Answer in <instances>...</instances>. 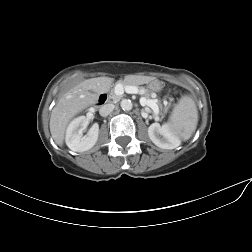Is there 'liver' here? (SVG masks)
<instances>
[{
  "mask_svg": "<svg viewBox=\"0 0 252 252\" xmlns=\"http://www.w3.org/2000/svg\"><path fill=\"white\" fill-rule=\"evenodd\" d=\"M150 80V77L135 75H128L124 79L126 84L133 85L148 83ZM112 82L113 79L109 77L87 79L71 88L58 100L50 117V132L56 144L63 145L65 131L70 120L95 104L98 94L108 91Z\"/></svg>",
  "mask_w": 252,
  "mask_h": 252,
  "instance_id": "obj_1",
  "label": "liver"
}]
</instances>
